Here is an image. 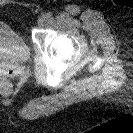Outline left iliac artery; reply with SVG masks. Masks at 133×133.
Segmentation results:
<instances>
[{
	"label": "left iliac artery",
	"mask_w": 133,
	"mask_h": 133,
	"mask_svg": "<svg viewBox=\"0 0 133 133\" xmlns=\"http://www.w3.org/2000/svg\"><path fill=\"white\" fill-rule=\"evenodd\" d=\"M44 16H45V17H46V19L48 20V19L52 16V13H51V12H49V13L45 14Z\"/></svg>",
	"instance_id": "left-iliac-artery-1"
}]
</instances>
